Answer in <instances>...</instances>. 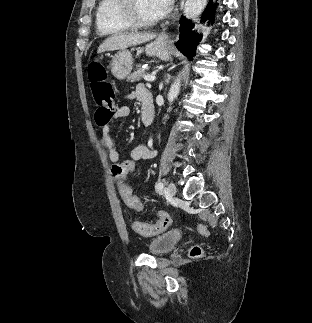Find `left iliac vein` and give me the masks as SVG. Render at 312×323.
<instances>
[{
    "label": "left iliac vein",
    "mask_w": 312,
    "mask_h": 323,
    "mask_svg": "<svg viewBox=\"0 0 312 323\" xmlns=\"http://www.w3.org/2000/svg\"><path fill=\"white\" fill-rule=\"evenodd\" d=\"M166 192L171 198H173L177 192L175 184L169 183Z\"/></svg>",
    "instance_id": "4c4485c4"
}]
</instances>
